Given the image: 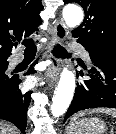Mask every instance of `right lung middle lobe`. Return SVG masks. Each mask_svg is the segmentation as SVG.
Returning a JSON list of instances; mask_svg holds the SVG:
<instances>
[{
	"instance_id": "dd1d6c3e",
	"label": "right lung middle lobe",
	"mask_w": 116,
	"mask_h": 134,
	"mask_svg": "<svg viewBox=\"0 0 116 134\" xmlns=\"http://www.w3.org/2000/svg\"><path fill=\"white\" fill-rule=\"evenodd\" d=\"M8 62H0V89L6 88L13 82L14 78H9L5 71L7 70Z\"/></svg>"
}]
</instances>
